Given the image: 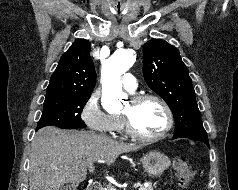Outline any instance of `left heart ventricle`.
<instances>
[{
	"label": "left heart ventricle",
	"mask_w": 238,
	"mask_h": 190,
	"mask_svg": "<svg viewBox=\"0 0 238 190\" xmlns=\"http://www.w3.org/2000/svg\"><path fill=\"white\" fill-rule=\"evenodd\" d=\"M131 113L134 127L142 134L157 135L166 126V115L163 108L154 100H146L134 108L127 103L122 113Z\"/></svg>",
	"instance_id": "1"
}]
</instances>
